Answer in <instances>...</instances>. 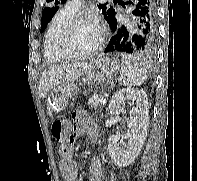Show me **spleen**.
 Wrapping results in <instances>:
<instances>
[{"label": "spleen", "mask_w": 197, "mask_h": 181, "mask_svg": "<svg viewBox=\"0 0 197 181\" xmlns=\"http://www.w3.org/2000/svg\"><path fill=\"white\" fill-rule=\"evenodd\" d=\"M121 68L122 74L120 79L124 86H137L147 79V67L131 55H121Z\"/></svg>", "instance_id": "1"}]
</instances>
